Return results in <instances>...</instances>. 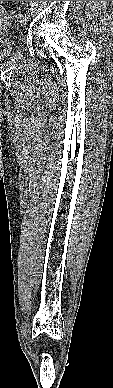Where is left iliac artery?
<instances>
[{"instance_id":"left-iliac-artery-1","label":"left iliac artery","mask_w":113,"mask_h":388,"mask_svg":"<svg viewBox=\"0 0 113 388\" xmlns=\"http://www.w3.org/2000/svg\"><path fill=\"white\" fill-rule=\"evenodd\" d=\"M26 14H27L28 18H30V14L29 13H26Z\"/></svg>"}]
</instances>
